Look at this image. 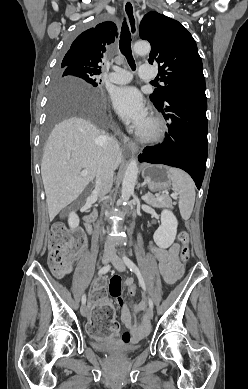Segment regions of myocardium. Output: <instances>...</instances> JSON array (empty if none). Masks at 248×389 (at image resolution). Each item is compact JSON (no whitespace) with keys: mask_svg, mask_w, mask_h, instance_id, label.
<instances>
[{"mask_svg":"<svg viewBox=\"0 0 248 389\" xmlns=\"http://www.w3.org/2000/svg\"><path fill=\"white\" fill-rule=\"evenodd\" d=\"M148 129H139L137 137L144 142H158L165 134V126L163 121L157 116H150L147 119Z\"/></svg>","mask_w":248,"mask_h":389,"instance_id":"myocardium-1","label":"myocardium"}]
</instances>
